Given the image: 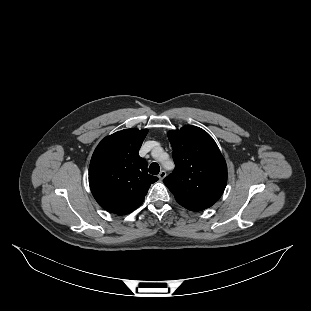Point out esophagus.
<instances>
[{
	"instance_id": "1",
	"label": "esophagus",
	"mask_w": 311,
	"mask_h": 311,
	"mask_svg": "<svg viewBox=\"0 0 311 311\" xmlns=\"http://www.w3.org/2000/svg\"><path fill=\"white\" fill-rule=\"evenodd\" d=\"M166 172L164 170H162L159 174H158V178L160 180H163L166 177Z\"/></svg>"
}]
</instances>
